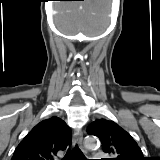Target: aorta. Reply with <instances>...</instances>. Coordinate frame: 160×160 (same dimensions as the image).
Segmentation results:
<instances>
[{
    "instance_id": "1",
    "label": "aorta",
    "mask_w": 160,
    "mask_h": 160,
    "mask_svg": "<svg viewBox=\"0 0 160 160\" xmlns=\"http://www.w3.org/2000/svg\"><path fill=\"white\" fill-rule=\"evenodd\" d=\"M99 144V141L97 138L95 137H88L85 139V147L92 149V148H96Z\"/></svg>"
}]
</instances>
